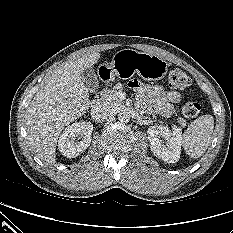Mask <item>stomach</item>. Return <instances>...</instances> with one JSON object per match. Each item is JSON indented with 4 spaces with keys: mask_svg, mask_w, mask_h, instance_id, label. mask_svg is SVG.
<instances>
[{
    "mask_svg": "<svg viewBox=\"0 0 233 233\" xmlns=\"http://www.w3.org/2000/svg\"><path fill=\"white\" fill-rule=\"evenodd\" d=\"M113 75L129 77L136 73L144 80H160L168 71V63L159 56L123 49L115 53L112 62L105 65Z\"/></svg>",
    "mask_w": 233,
    "mask_h": 233,
    "instance_id": "obj_1",
    "label": "stomach"
}]
</instances>
